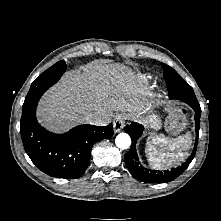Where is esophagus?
<instances>
[{
  "mask_svg": "<svg viewBox=\"0 0 221 221\" xmlns=\"http://www.w3.org/2000/svg\"><path fill=\"white\" fill-rule=\"evenodd\" d=\"M124 127V116L123 115H117L114 118L113 121V129L115 133L120 132Z\"/></svg>",
  "mask_w": 221,
  "mask_h": 221,
  "instance_id": "1",
  "label": "esophagus"
}]
</instances>
